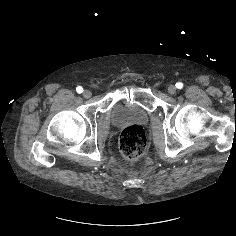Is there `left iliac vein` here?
Instances as JSON below:
<instances>
[{
  "mask_svg": "<svg viewBox=\"0 0 236 236\" xmlns=\"http://www.w3.org/2000/svg\"><path fill=\"white\" fill-rule=\"evenodd\" d=\"M176 91H177V89H176V87H175L174 85H169V86H168V92H169L170 94H175Z\"/></svg>",
  "mask_w": 236,
  "mask_h": 236,
  "instance_id": "left-iliac-vein-1",
  "label": "left iliac vein"
}]
</instances>
